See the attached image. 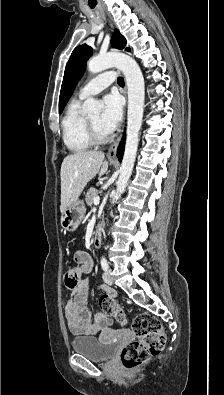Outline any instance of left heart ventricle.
<instances>
[{"label":"left heart ventricle","instance_id":"left-heart-ventricle-1","mask_svg":"<svg viewBox=\"0 0 224 395\" xmlns=\"http://www.w3.org/2000/svg\"><path fill=\"white\" fill-rule=\"evenodd\" d=\"M100 116H101L100 113H96L89 116V119L101 134H108L105 130L102 129L100 125Z\"/></svg>","mask_w":224,"mask_h":395}]
</instances>
